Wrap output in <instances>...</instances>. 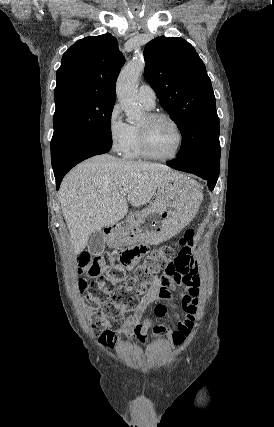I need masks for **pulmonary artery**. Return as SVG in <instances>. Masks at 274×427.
Masks as SVG:
<instances>
[{
    "mask_svg": "<svg viewBox=\"0 0 274 427\" xmlns=\"http://www.w3.org/2000/svg\"><path fill=\"white\" fill-rule=\"evenodd\" d=\"M138 100L147 110H153L156 106V96L154 90L148 84L142 83L138 89Z\"/></svg>",
    "mask_w": 274,
    "mask_h": 427,
    "instance_id": "pulmonary-artery-1",
    "label": "pulmonary artery"
}]
</instances>
